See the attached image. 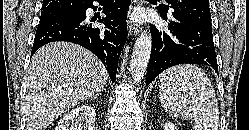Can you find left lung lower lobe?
<instances>
[{
    "mask_svg": "<svg viewBox=\"0 0 249 130\" xmlns=\"http://www.w3.org/2000/svg\"><path fill=\"white\" fill-rule=\"evenodd\" d=\"M159 12L169 27L168 31L151 27L152 52L146 85L165 69L179 64L208 65L218 73L211 25L174 14L167 17Z\"/></svg>",
    "mask_w": 249,
    "mask_h": 130,
    "instance_id": "0a47b994",
    "label": "left lung lower lobe"
}]
</instances>
